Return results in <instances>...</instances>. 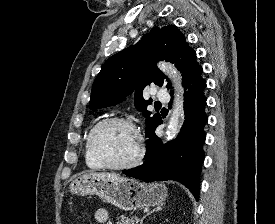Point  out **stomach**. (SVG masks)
<instances>
[{
	"label": "stomach",
	"mask_w": 275,
	"mask_h": 224,
	"mask_svg": "<svg viewBox=\"0 0 275 224\" xmlns=\"http://www.w3.org/2000/svg\"><path fill=\"white\" fill-rule=\"evenodd\" d=\"M70 192L75 195H97L104 201L125 211L156 206L166 199L163 183L145 184L112 173H89L74 178Z\"/></svg>",
	"instance_id": "0dacf381"
}]
</instances>
